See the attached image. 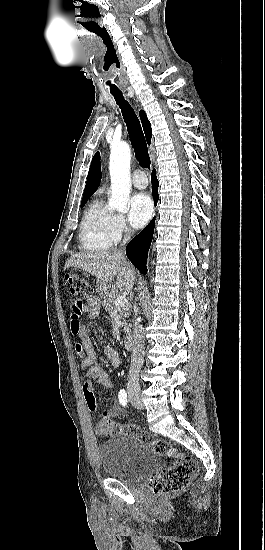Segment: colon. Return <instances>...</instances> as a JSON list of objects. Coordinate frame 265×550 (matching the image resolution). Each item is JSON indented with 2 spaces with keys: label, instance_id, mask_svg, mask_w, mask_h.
I'll use <instances>...</instances> for the list:
<instances>
[{
  "label": "colon",
  "instance_id": "1",
  "mask_svg": "<svg viewBox=\"0 0 265 550\" xmlns=\"http://www.w3.org/2000/svg\"><path fill=\"white\" fill-rule=\"evenodd\" d=\"M65 283L73 297L72 314L78 317L85 311V301L91 297L92 287L85 278L73 273L65 275ZM97 431L100 436L134 437L148 445L159 456L174 460L172 466L162 469L155 476L152 491L156 496L172 495L180 491L198 473L199 467L194 459L180 454L168 442L155 438L136 425H123L111 418L104 417L98 422Z\"/></svg>",
  "mask_w": 265,
  "mask_h": 550
}]
</instances>
